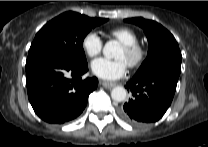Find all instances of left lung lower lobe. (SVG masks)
Masks as SVG:
<instances>
[{
  "mask_svg": "<svg viewBox=\"0 0 208 147\" xmlns=\"http://www.w3.org/2000/svg\"><path fill=\"white\" fill-rule=\"evenodd\" d=\"M178 78L169 69L134 76L126 85L132 97L119 109L120 117L139 126L158 121L172 102Z\"/></svg>",
  "mask_w": 208,
  "mask_h": 147,
  "instance_id": "0a47b994",
  "label": "left lung lower lobe"
}]
</instances>
